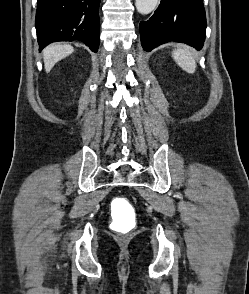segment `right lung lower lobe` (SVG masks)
<instances>
[{"instance_id":"right-lung-lower-lobe-1","label":"right lung lower lobe","mask_w":249,"mask_h":294,"mask_svg":"<svg viewBox=\"0 0 249 294\" xmlns=\"http://www.w3.org/2000/svg\"><path fill=\"white\" fill-rule=\"evenodd\" d=\"M100 0H38L35 26L40 50L56 41L79 40L99 46Z\"/></svg>"}]
</instances>
